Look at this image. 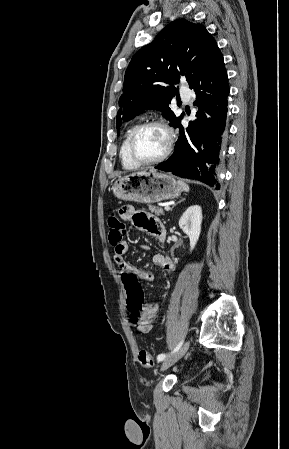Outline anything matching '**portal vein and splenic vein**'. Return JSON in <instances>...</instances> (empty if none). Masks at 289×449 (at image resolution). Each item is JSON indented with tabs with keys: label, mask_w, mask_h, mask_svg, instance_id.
Here are the masks:
<instances>
[{
	"label": "portal vein and splenic vein",
	"mask_w": 289,
	"mask_h": 449,
	"mask_svg": "<svg viewBox=\"0 0 289 449\" xmlns=\"http://www.w3.org/2000/svg\"><path fill=\"white\" fill-rule=\"evenodd\" d=\"M164 209H165L166 211H169V210H170V207H169V206H165Z\"/></svg>",
	"instance_id": "portal-vein-and-splenic-vein-1"
}]
</instances>
